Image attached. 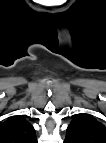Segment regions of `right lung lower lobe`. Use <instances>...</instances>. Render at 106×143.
Returning <instances> with one entry per match:
<instances>
[{
    "instance_id": "obj_1",
    "label": "right lung lower lobe",
    "mask_w": 106,
    "mask_h": 143,
    "mask_svg": "<svg viewBox=\"0 0 106 143\" xmlns=\"http://www.w3.org/2000/svg\"><path fill=\"white\" fill-rule=\"evenodd\" d=\"M31 143H37V139H34Z\"/></svg>"
}]
</instances>
